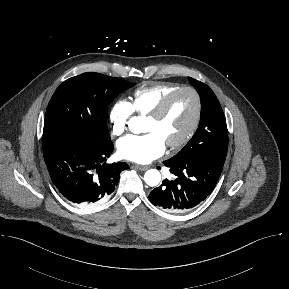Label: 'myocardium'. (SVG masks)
<instances>
[{
    "label": "myocardium",
    "mask_w": 289,
    "mask_h": 289,
    "mask_svg": "<svg viewBox=\"0 0 289 289\" xmlns=\"http://www.w3.org/2000/svg\"><path fill=\"white\" fill-rule=\"evenodd\" d=\"M184 91H188L192 93L195 98V102H196L195 115L187 132L179 140L167 144V147L172 150L179 149L185 146L192 139V137L195 135L196 131L198 130L201 117H202V110H203L202 98L199 92L191 86L178 87L177 89L173 90L168 95H166L163 98V100L157 105V107L147 115V118H150L153 120H159L167 112L175 96Z\"/></svg>",
    "instance_id": "obj_1"
}]
</instances>
